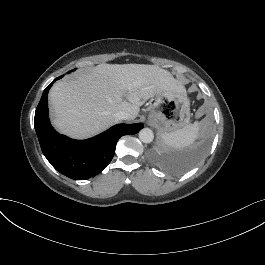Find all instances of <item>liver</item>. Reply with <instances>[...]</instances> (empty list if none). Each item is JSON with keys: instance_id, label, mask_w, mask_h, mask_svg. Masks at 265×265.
Masks as SVG:
<instances>
[{"instance_id": "obj_1", "label": "liver", "mask_w": 265, "mask_h": 265, "mask_svg": "<svg viewBox=\"0 0 265 265\" xmlns=\"http://www.w3.org/2000/svg\"><path fill=\"white\" fill-rule=\"evenodd\" d=\"M157 94L183 97L186 90L157 65L103 63L73 80L56 82L48 99L55 128L83 139L117 123L112 115L116 111H126L128 120H134L140 106Z\"/></svg>"}]
</instances>
